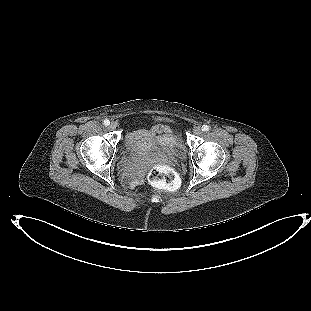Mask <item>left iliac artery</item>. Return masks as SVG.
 Instances as JSON below:
<instances>
[{"instance_id":"obj_1","label":"left iliac artery","mask_w":311,"mask_h":311,"mask_svg":"<svg viewBox=\"0 0 311 311\" xmlns=\"http://www.w3.org/2000/svg\"><path fill=\"white\" fill-rule=\"evenodd\" d=\"M210 127L208 125L202 126V131H209Z\"/></svg>"}]
</instances>
